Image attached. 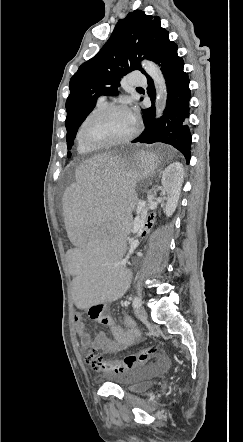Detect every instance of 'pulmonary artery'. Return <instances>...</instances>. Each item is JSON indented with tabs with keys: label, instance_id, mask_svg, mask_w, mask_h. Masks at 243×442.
<instances>
[{
	"label": "pulmonary artery",
	"instance_id": "e3ab8cb5",
	"mask_svg": "<svg viewBox=\"0 0 243 442\" xmlns=\"http://www.w3.org/2000/svg\"><path fill=\"white\" fill-rule=\"evenodd\" d=\"M129 83L134 86L144 85L146 83L145 79L139 77L138 74H132L129 78ZM99 101L105 102V97L101 96Z\"/></svg>",
	"mask_w": 243,
	"mask_h": 442
}]
</instances>
